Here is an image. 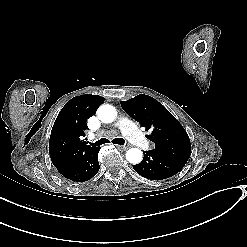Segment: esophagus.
<instances>
[{
  "label": "esophagus",
  "instance_id": "obj_1",
  "mask_svg": "<svg viewBox=\"0 0 247 247\" xmlns=\"http://www.w3.org/2000/svg\"><path fill=\"white\" fill-rule=\"evenodd\" d=\"M117 148H118L119 150H121V151H125V150L128 149L127 146H122V145L117 146Z\"/></svg>",
  "mask_w": 247,
  "mask_h": 247
}]
</instances>
